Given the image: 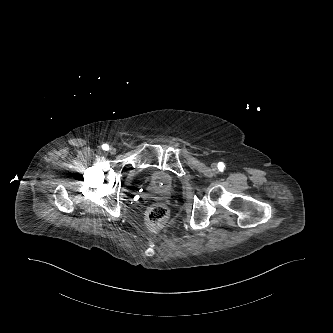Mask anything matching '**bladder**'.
Segmentation results:
<instances>
[{
    "mask_svg": "<svg viewBox=\"0 0 333 333\" xmlns=\"http://www.w3.org/2000/svg\"><path fill=\"white\" fill-rule=\"evenodd\" d=\"M151 188L158 193H170L174 189V179L164 170H152L149 175Z\"/></svg>",
    "mask_w": 333,
    "mask_h": 333,
    "instance_id": "31cf9c89",
    "label": "bladder"
}]
</instances>
